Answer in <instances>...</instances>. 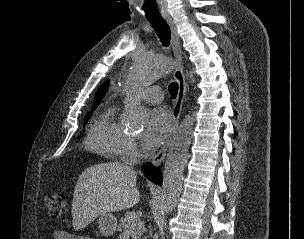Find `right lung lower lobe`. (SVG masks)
I'll use <instances>...</instances> for the list:
<instances>
[{"mask_svg": "<svg viewBox=\"0 0 304 239\" xmlns=\"http://www.w3.org/2000/svg\"><path fill=\"white\" fill-rule=\"evenodd\" d=\"M144 173L146 177L151 180L152 182L161 185L162 184V174L161 171L150 163L145 164L144 166Z\"/></svg>", "mask_w": 304, "mask_h": 239, "instance_id": "right-lung-lower-lobe-1", "label": "right lung lower lobe"}]
</instances>
